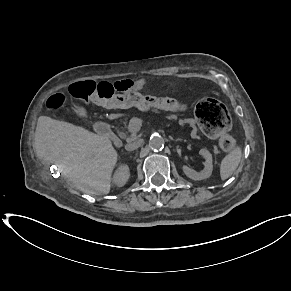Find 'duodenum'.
<instances>
[{
    "instance_id": "410a0bca",
    "label": "duodenum",
    "mask_w": 291,
    "mask_h": 291,
    "mask_svg": "<svg viewBox=\"0 0 291 291\" xmlns=\"http://www.w3.org/2000/svg\"><path fill=\"white\" fill-rule=\"evenodd\" d=\"M95 128L98 132L103 133L106 139H109V143L117 148L124 146V141L116 136H113V132L109 130V126L105 122H98L95 124Z\"/></svg>"
}]
</instances>
